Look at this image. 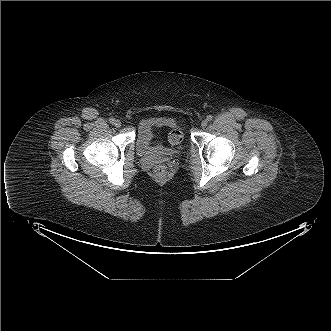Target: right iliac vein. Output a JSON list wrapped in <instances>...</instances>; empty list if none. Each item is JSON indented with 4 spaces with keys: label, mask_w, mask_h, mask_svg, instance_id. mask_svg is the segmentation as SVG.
I'll return each instance as SVG.
<instances>
[{
    "label": "right iliac vein",
    "mask_w": 331,
    "mask_h": 331,
    "mask_svg": "<svg viewBox=\"0 0 331 331\" xmlns=\"http://www.w3.org/2000/svg\"><path fill=\"white\" fill-rule=\"evenodd\" d=\"M114 126H115L116 128H120V127H121V121H120V120H115V121H114Z\"/></svg>",
    "instance_id": "obj_1"
}]
</instances>
